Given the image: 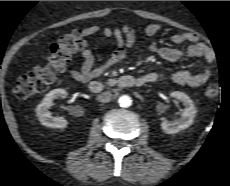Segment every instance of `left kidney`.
Returning a JSON list of instances; mask_svg holds the SVG:
<instances>
[{"label":"left kidney","mask_w":230,"mask_h":186,"mask_svg":"<svg viewBox=\"0 0 230 186\" xmlns=\"http://www.w3.org/2000/svg\"><path fill=\"white\" fill-rule=\"evenodd\" d=\"M170 96L180 100L185 106V109L179 119H175L173 121L164 120L161 123V128L165 133L174 134L192 125L197 109L191 98L183 92L174 91L170 94Z\"/></svg>","instance_id":"1"}]
</instances>
